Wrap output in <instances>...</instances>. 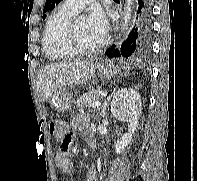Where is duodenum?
<instances>
[{
	"instance_id": "duodenum-1",
	"label": "duodenum",
	"mask_w": 197,
	"mask_h": 181,
	"mask_svg": "<svg viewBox=\"0 0 197 181\" xmlns=\"http://www.w3.org/2000/svg\"><path fill=\"white\" fill-rule=\"evenodd\" d=\"M86 140H87L88 144H89L91 147H94V145H95V138H94L93 135L87 136V137H86Z\"/></svg>"
}]
</instances>
